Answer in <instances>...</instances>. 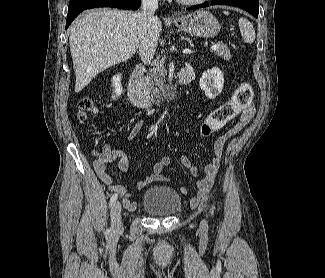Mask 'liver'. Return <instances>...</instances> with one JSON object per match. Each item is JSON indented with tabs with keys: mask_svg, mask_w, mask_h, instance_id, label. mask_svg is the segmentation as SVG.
Masks as SVG:
<instances>
[{
	"mask_svg": "<svg viewBox=\"0 0 325 278\" xmlns=\"http://www.w3.org/2000/svg\"><path fill=\"white\" fill-rule=\"evenodd\" d=\"M160 32L162 23L156 20ZM139 13L96 9L82 14L70 27V51L76 74L75 92L82 91L105 69L130 59L141 38Z\"/></svg>",
	"mask_w": 325,
	"mask_h": 278,
	"instance_id": "1",
	"label": "liver"
}]
</instances>
